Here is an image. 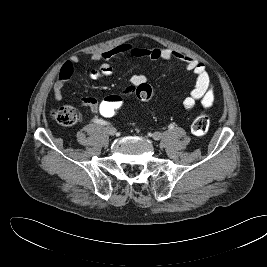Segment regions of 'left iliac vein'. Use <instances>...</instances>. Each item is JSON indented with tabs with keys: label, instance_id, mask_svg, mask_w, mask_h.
Listing matches in <instances>:
<instances>
[{
	"label": "left iliac vein",
	"instance_id": "obj_1",
	"mask_svg": "<svg viewBox=\"0 0 267 267\" xmlns=\"http://www.w3.org/2000/svg\"><path fill=\"white\" fill-rule=\"evenodd\" d=\"M162 137H163V135H162V133H160V132H154V133H152V138H153L154 140H156V141L162 139Z\"/></svg>",
	"mask_w": 267,
	"mask_h": 267
}]
</instances>
